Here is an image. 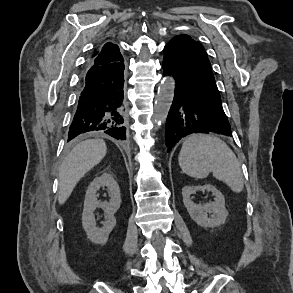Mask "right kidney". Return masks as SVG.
<instances>
[{
	"mask_svg": "<svg viewBox=\"0 0 293 293\" xmlns=\"http://www.w3.org/2000/svg\"><path fill=\"white\" fill-rule=\"evenodd\" d=\"M101 187H107L110 196L109 202L98 201L96 194ZM120 205L121 196L119 185L111 174L104 173L90 183L84 201L82 225L88 238L92 242L96 244H106L109 234L116 225L114 214L120 208ZM98 207L102 208L105 213V222H103L102 228L96 226L94 216V211Z\"/></svg>",
	"mask_w": 293,
	"mask_h": 293,
	"instance_id": "ca27d5eb",
	"label": "right kidney"
}]
</instances>
